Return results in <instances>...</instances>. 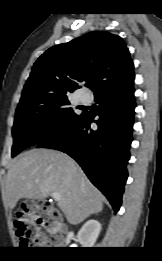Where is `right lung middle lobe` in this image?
Returning <instances> with one entry per match:
<instances>
[{
  "label": "right lung middle lobe",
  "instance_id": "1",
  "mask_svg": "<svg viewBox=\"0 0 162 261\" xmlns=\"http://www.w3.org/2000/svg\"><path fill=\"white\" fill-rule=\"evenodd\" d=\"M83 114L74 112L68 96L43 95L21 101L12 131V157L68 127Z\"/></svg>",
  "mask_w": 162,
  "mask_h": 261
}]
</instances>
